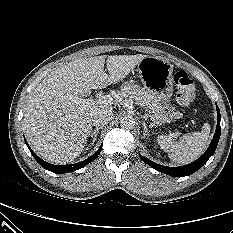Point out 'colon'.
I'll return each mask as SVG.
<instances>
[{
  "instance_id": "colon-1",
  "label": "colon",
  "mask_w": 233,
  "mask_h": 233,
  "mask_svg": "<svg viewBox=\"0 0 233 233\" xmlns=\"http://www.w3.org/2000/svg\"><path fill=\"white\" fill-rule=\"evenodd\" d=\"M177 102L184 108L191 105L195 97V85L186 72L178 71L174 75Z\"/></svg>"
}]
</instances>
